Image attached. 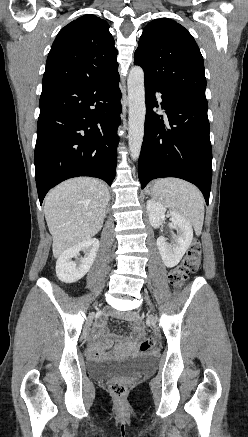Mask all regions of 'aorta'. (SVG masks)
<instances>
[{
    "label": "aorta",
    "mask_w": 248,
    "mask_h": 437,
    "mask_svg": "<svg viewBox=\"0 0 248 437\" xmlns=\"http://www.w3.org/2000/svg\"><path fill=\"white\" fill-rule=\"evenodd\" d=\"M128 144L133 160L140 156L141 146L144 137V123L146 115L144 72L139 66L133 67L128 76Z\"/></svg>",
    "instance_id": "762f6f07"
}]
</instances>
